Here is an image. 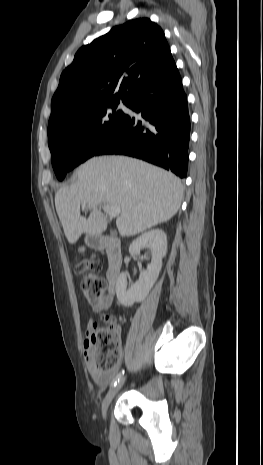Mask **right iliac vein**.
<instances>
[{
    "instance_id": "right-iliac-vein-1",
    "label": "right iliac vein",
    "mask_w": 263,
    "mask_h": 465,
    "mask_svg": "<svg viewBox=\"0 0 263 465\" xmlns=\"http://www.w3.org/2000/svg\"><path fill=\"white\" fill-rule=\"evenodd\" d=\"M125 382V377L121 378L119 382L116 384V386L112 387L108 393L106 394L103 402H102V415L103 418H106L107 411L109 408L110 403L112 402L113 398L117 394V392L121 389Z\"/></svg>"
}]
</instances>
